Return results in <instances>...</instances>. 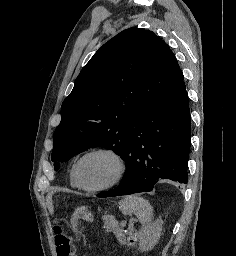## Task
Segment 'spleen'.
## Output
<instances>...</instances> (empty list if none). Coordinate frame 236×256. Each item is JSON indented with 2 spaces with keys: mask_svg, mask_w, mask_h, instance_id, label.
<instances>
[{
  "mask_svg": "<svg viewBox=\"0 0 236 256\" xmlns=\"http://www.w3.org/2000/svg\"><path fill=\"white\" fill-rule=\"evenodd\" d=\"M119 210H121L124 216H130V214H135L141 224L149 222L152 206H150L147 200L144 198H138V196H127L124 200L119 202Z\"/></svg>",
  "mask_w": 236,
  "mask_h": 256,
  "instance_id": "1",
  "label": "spleen"
}]
</instances>
